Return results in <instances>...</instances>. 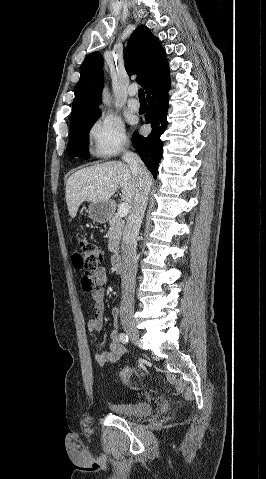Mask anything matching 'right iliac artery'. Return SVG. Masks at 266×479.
<instances>
[{"instance_id": "obj_1", "label": "right iliac artery", "mask_w": 266, "mask_h": 479, "mask_svg": "<svg viewBox=\"0 0 266 479\" xmlns=\"http://www.w3.org/2000/svg\"><path fill=\"white\" fill-rule=\"evenodd\" d=\"M119 340H120L123 344H127V343L129 342L128 335L125 334V333H120V334H119Z\"/></svg>"}]
</instances>
